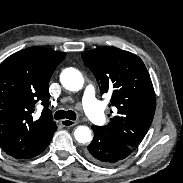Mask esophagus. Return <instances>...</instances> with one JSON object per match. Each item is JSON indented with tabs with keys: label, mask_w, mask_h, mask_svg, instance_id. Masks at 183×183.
<instances>
[{
	"label": "esophagus",
	"mask_w": 183,
	"mask_h": 183,
	"mask_svg": "<svg viewBox=\"0 0 183 183\" xmlns=\"http://www.w3.org/2000/svg\"><path fill=\"white\" fill-rule=\"evenodd\" d=\"M77 123H78L77 121L69 120V119H64V120H61V122H60V124L63 127H72V126L76 125Z\"/></svg>",
	"instance_id": "34e87169"
}]
</instances>
